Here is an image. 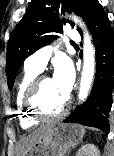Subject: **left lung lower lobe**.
Returning <instances> with one entry per match:
<instances>
[{
	"instance_id": "left-lung-lower-lobe-1",
	"label": "left lung lower lobe",
	"mask_w": 114,
	"mask_h": 156,
	"mask_svg": "<svg viewBox=\"0 0 114 156\" xmlns=\"http://www.w3.org/2000/svg\"><path fill=\"white\" fill-rule=\"evenodd\" d=\"M87 25L96 49V78L88 100L78 107L64 122L80 123L109 133V111L114 88V32L103 7L96 2Z\"/></svg>"
}]
</instances>
